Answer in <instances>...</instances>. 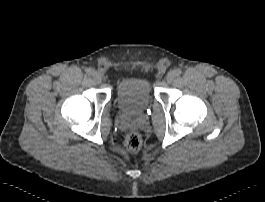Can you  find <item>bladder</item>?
<instances>
[{
  "mask_svg": "<svg viewBox=\"0 0 265 202\" xmlns=\"http://www.w3.org/2000/svg\"><path fill=\"white\" fill-rule=\"evenodd\" d=\"M115 99L123 112L139 113L154 100L151 83L144 77L124 79L116 87Z\"/></svg>",
  "mask_w": 265,
  "mask_h": 202,
  "instance_id": "1",
  "label": "bladder"
}]
</instances>
